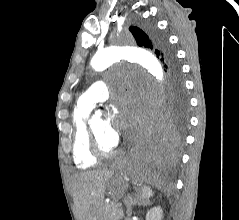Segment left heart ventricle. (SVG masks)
Segmentation results:
<instances>
[{
    "mask_svg": "<svg viewBox=\"0 0 239 220\" xmlns=\"http://www.w3.org/2000/svg\"><path fill=\"white\" fill-rule=\"evenodd\" d=\"M92 128L103 149H111L116 145L105 135L106 121L100 118L92 120Z\"/></svg>",
    "mask_w": 239,
    "mask_h": 220,
    "instance_id": "b2bd125f",
    "label": "left heart ventricle"
}]
</instances>
